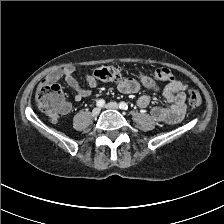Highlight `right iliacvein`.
I'll return each instance as SVG.
<instances>
[{
    "label": "right iliac vein",
    "mask_w": 224,
    "mask_h": 224,
    "mask_svg": "<svg viewBox=\"0 0 224 224\" xmlns=\"http://www.w3.org/2000/svg\"><path fill=\"white\" fill-rule=\"evenodd\" d=\"M101 112V108L100 107H95L93 110H92V115L93 116H98Z\"/></svg>",
    "instance_id": "right-iliac-vein-1"
}]
</instances>
